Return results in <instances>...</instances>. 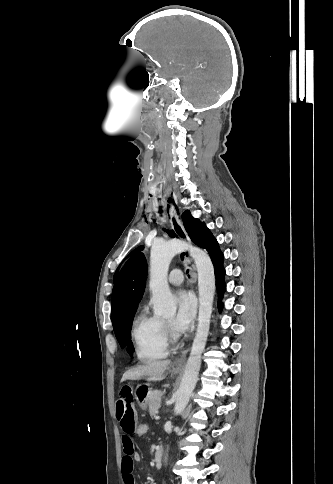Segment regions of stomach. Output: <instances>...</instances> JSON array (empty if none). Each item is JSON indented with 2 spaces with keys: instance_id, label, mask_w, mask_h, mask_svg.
<instances>
[{
  "instance_id": "obj_1",
  "label": "stomach",
  "mask_w": 333,
  "mask_h": 484,
  "mask_svg": "<svg viewBox=\"0 0 333 484\" xmlns=\"http://www.w3.org/2000/svg\"><path fill=\"white\" fill-rule=\"evenodd\" d=\"M179 367H172V372L174 374L179 373ZM152 393L149 385L147 383L139 384L135 390V397L142 409H146L149 404V397Z\"/></svg>"
}]
</instances>
